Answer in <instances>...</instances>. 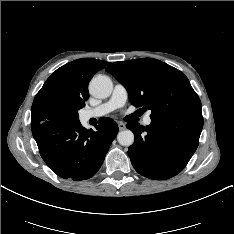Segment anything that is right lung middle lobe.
I'll list each match as a JSON object with an SVG mask.
<instances>
[{
  "label": "right lung middle lobe",
  "instance_id": "dd1d6c3e",
  "mask_svg": "<svg viewBox=\"0 0 234 234\" xmlns=\"http://www.w3.org/2000/svg\"><path fill=\"white\" fill-rule=\"evenodd\" d=\"M84 106L85 103L60 106L56 109L54 118L55 120L79 121L78 110Z\"/></svg>",
  "mask_w": 234,
  "mask_h": 234
}]
</instances>
